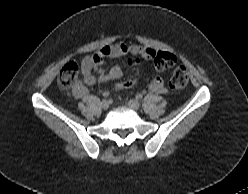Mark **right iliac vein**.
I'll return each mask as SVG.
<instances>
[{
    "label": "right iliac vein",
    "mask_w": 248,
    "mask_h": 194,
    "mask_svg": "<svg viewBox=\"0 0 248 194\" xmlns=\"http://www.w3.org/2000/svg\"><path fill=\"white\" fill-rule=\"evenodd\" d=\"M110 104L107 100H103L101 102V107L104 109V110H107L109 108Z\"/></svg>",
    "instance_id": "obj_1"
}]
</instances>
